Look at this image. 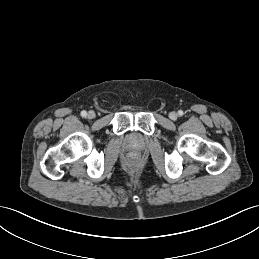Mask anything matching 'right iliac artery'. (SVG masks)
I'll use <instances>...</instances> for the list:
<instances>
[{
  "instance_id": "82829eb1",
  "label": "right iliac artery",
  "mask_w": 259,
  "mask_h": 259,
  "mask_svg": "<svg viewBox=\"0 0 259 259\" xmlns=\"http://www.w3.org/2000/svg\"><path fill=\"white\" fill-rule=\"evenodd\" d=\"M81 116H82V117H86V116H87V112L83 110V111L81 112Z\"/></svg>"
}]
</instances>
